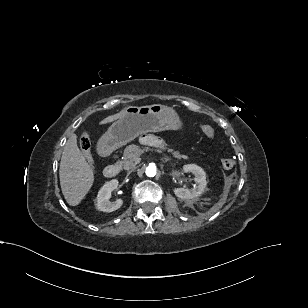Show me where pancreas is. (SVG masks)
<instances>
[{
    "label": "pancreas",
    "instance_id": "pancreas-1",
    "mask_svg": "<svg viewBox=\"0 0 308 308\" xmlns=\"http://www.w3.org/2000/svg\"><path fill=\"white\" fill-rule=\"evenodd\" d=\"M168 152H170L175 158H188L185 155H181L178 151H173V149H168ZM142 153L143 150H141L138 145H129L124 150L123 160L118 161L117 164L122 166L125 170L134 169L140 162V155Z\"/></svg>",
    "mask_w": 308,
    "mask_h": 308
}]
</instances>
